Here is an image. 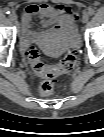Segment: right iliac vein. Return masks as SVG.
<instances>
[{
	"instance_id": "right-iliac-vein-1",
	"label": "right iliac vein",
	"mask_w": 104,
	"mask_h": 137,
	"mask_svg": "<svg viewBox=\"0 0 104 137\" xmlns=\"http://www.w3.org/2000/svg\"><path fill=\"white\" fill-rule=\"evenodd\" d=\"M9 18H10L11 21L16 22L18 17H17V14H16V13L12 12V13L9 15Z\"/></svg>"
}]
</instances>
